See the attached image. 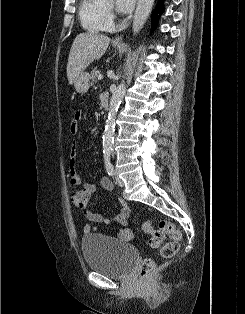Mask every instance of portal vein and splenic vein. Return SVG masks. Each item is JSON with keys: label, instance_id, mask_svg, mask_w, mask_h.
<instances>
[{"label": "portal vein and splenic vein", "instance_id": "portal-vein-and-splenic-vein-1", "mask_svg": "<svg viewBox=\"0 0 245 314\" xmlns=\"http://www.w3.org/2000/svg\"><path fill=\"white\" fill-rule=\"evenodd\" d=\"M98 79H99V80H102V79H103V75H102V74H99V75H98Z\"/></svg>", "mask_w": 245, "mask_h": 314}]
</instances>
